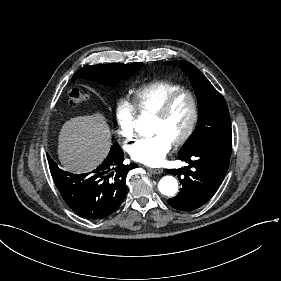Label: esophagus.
Here are the masks:
<instances>
[{"label": "esophagus", "instance_id": "1", "mask_svg": "<svg viewBox=\"0 0 281 281\" xmlns=\"http://www.w3.org/2000/svg\"><path fill=\"white\" fill-rule=\"evenodd\" d=\"M147 169L152 174H162L163 173V169H160V168H147Z\"/></svg>", "mask_w": 281, "mask_h": 281}]
</instances>
